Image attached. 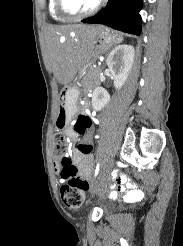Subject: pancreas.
<instances>
[{
    "instance_id": "obj_1",
    "label": "pancreas",
    "mask_w": 183,
    "mask_h": 246,
    "mask_svg": "<svg viewBox=\"0 0 183 246\" xmlns=\"http://www.w3.org/2000/svg\"><path fill=\"white\" fill-rule=\"evenodd\" d=\"M97 71H98V69H93V68H91L89 73H90V74H95Z\"/></svg>"
}]
</instances>
